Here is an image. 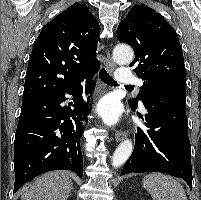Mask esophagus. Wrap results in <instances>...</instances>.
<instances>
[{"label":"esophagus","mask_w":201,"mask_h":200,"mask_svg":"<svg viewBox=\"0 0 201 200\" xmlns=\"http://www.w3.org/2000/svg\"><path fill=\"white\" fill-rule=\"evenodd\" d=\"M106 68L110 73H112L114 69L116 68V64L112 60L108 49L106 50ZM126 136H127V132L125 130H121V129L117 130L115 133V140L117 142L122 141L123 139L126 138Z\"/></svg>","instance_id":"esophagus-1"}]
</instances>
